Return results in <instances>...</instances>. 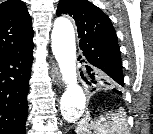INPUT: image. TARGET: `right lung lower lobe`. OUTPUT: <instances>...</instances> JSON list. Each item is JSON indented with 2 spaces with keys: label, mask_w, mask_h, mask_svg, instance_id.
<instances>
[{
  "label": "right lung lower lobe",
  "mask_w": 153,
  "mask_h": 134,
  "mask_svg": "<svg viewBox=\"0 0 153 134\" xmlns=\"http://www.w3.org/2000/svg\"><path fill=\"white\" fill-rule=\"evenodd\" d=\"M33 47L0 59V134H26Z\"/></svg>",
  "instance_id": "right-lung-lower-lobe-1"
}]
</instances>
